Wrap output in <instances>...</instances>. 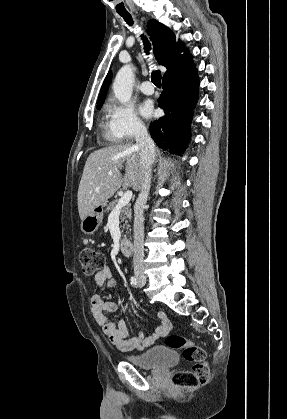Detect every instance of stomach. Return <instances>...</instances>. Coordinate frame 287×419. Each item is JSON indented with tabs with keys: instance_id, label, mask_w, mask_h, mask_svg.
<instances>
[{
	"instance_id": "obj_1",
	"label": "stomach",
	"mask_w": 287,
	"mask_h": 419,
	"mask_svg": "<svg viewBox=\"0 0 287 419\" xmlns=\"http://www.w3.org/2000/svg\"><path fill=\"white\" fill-rule=\"evenodd\" d=\"M104 206H98L81 221V230L87 235L94 234L103 220Z\"/></svg>"
}]
</instances>
